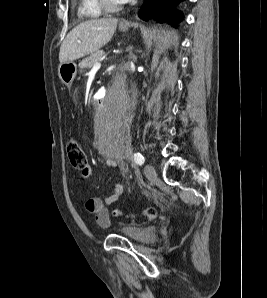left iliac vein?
Segmentation results:
<instances>
[{"label": "left iliac vein", "mask_w": 267, "mask_h": 298, "mask_svg": "<svg viewBox=\"0 0 267 298\" xmlns=\"http://www.w3.org/2000/svg\"><path fill=\"white\" fill-rule=\"evenodd\" d=\"M144 173L147 178L152 179L156 176V171L151 164H147L144 167Z\"/></svg>", "instance_id": "1"}]
</instances>
